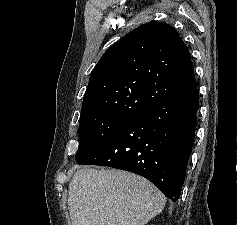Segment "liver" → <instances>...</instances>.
<instances>
[{
  "instance_id": "liver-1",
  "label": "liver",
  "mask_w": 237,
  "mask_h": 225,
  "mask_svg": "<svg viewBox=\"0 0 237 225\" xmlns=\"http://www.w3.org/2000/svg\"><path fill=\"white\" fill-rule=\"evenodd\" d=\"M165 204L151 182L127 171L84 167L69 183L72 225H145Z\"/></svg>"
}]
</instances>
